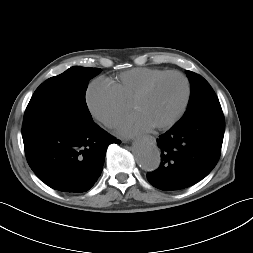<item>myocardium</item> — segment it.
I'll list each match as a JSON object with an SVG mask.
<instances>
[{"mask_svg":"<svg viewBox=\"0 0 253 253\" xmlns=\"http://www.w3.org/2000/svg\"><path fill=\"white\" fill-rule=\"evenodd\" d=\"M169 76H178L183 80V82L185 84V95H184L183 102H182L178 112L169 121H167L163 124L154 126V128H156L158 130H167V129L173 127L176 123L179 122V120L185 114L187 107L189 105V102H190V98H191V83H190V80L188 79V77L185 74H183L182 72L177 71V70L166 71V72L156 76L155 78L151 79L146 85H144L134 95V97L130 101V106H131V108H133V106L139 100H141L143 97H145L158 82H160L162 79L169 77Z\"/></svg>","mask_w":253,"mask_h":253,"instance_id":"f54148a6","label":"myocardium"}]
</instances>
